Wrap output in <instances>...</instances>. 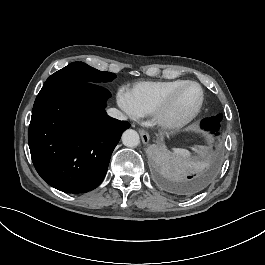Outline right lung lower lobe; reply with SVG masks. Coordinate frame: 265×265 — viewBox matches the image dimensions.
Segmentation results:
<instances>
[{"instance_id":"right-lung-lower-lobe-1","label":"right lung lower lobe","mask_w":265,"mask_h":265,"mask_svg":"<svg viewBox=\"0 0 265 265\" xmlns=\"http://www.w3.org/2000/svg\"><path fill=\"white\" fill-rule=\"evenodd\" d=\"M110 92L95 83L43 87L32 110L28 143L33 164L52 187L84 193L104 179L126 121L105 112Z\"/></svg>"}]
</instances>
